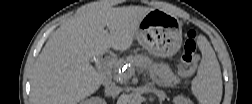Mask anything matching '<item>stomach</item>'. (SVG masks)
I'll return each instance as SVG.
<instances>
[{
    "mask_svg": "<svg viewBox=\"0 0 252 104\" xmlns=\"http://www.w3.org/2000/svg\"><path fill=\"white\" fill-rule=\"evenodd\" d=\"M135 38L149 53L171 57L182 45V23L166 11L153 9L139 23Z\"/></svg>",
    "mask_w": 252,
    "mask_h": 104,
    "instance_id": "1",
    "label": "stomach"
}]
</instances>
